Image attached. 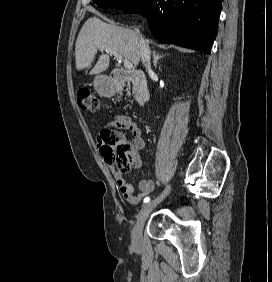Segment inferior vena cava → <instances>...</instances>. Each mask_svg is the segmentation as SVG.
I'll use <instances>...</instances> for the list:
<instances>
[{"mask_svg": "<svg viewBox=\"0 0 272 282\" xmlns=\"http://www.w3.org/2000/svg\"><path fill=\"white\" fill-rule=\"evenodd\" d=\"M136 34L139 36L140 50H141V59L143 64L150 71V49L142 35L140 34L139 29L135 30Z\"/></svg>", "mask_w": 272, "mask_h": 282, "instance_id": "1", "label": "inferior vena cava"}]
</instances>
